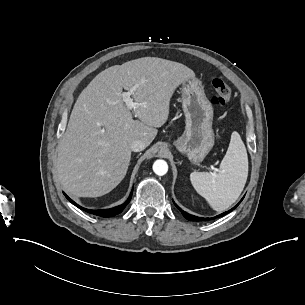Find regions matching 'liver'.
<instances>
[{"label":"liver","mask_w":305,"mask_h":305,"mask_svg":"<svg viewBox=\"0 0 305 305\" xmlns=\"http://www.w3.org/2000/svg\"><path fill=\"white\" fill-rule=\"evenodd\" d=\"M195 78L187 66L157 57H143L100 72L79 95L66 132L60 140L57 175L63 189L79 197H99L112 191L125 177L131 159L129 142L146 146L168 119L175 89ZM132 94L139 120L122 99Z\"/></svg>","instance_id":"obj_1"}]
</instances>
